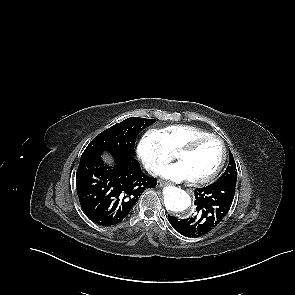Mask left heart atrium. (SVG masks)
Returning <instances> with one entry per match:
<instances>
[{"label":"left heart atrium","mask_w":295,"mask_h":295,"mask_svg":"<svg viewBox=\"0 0 295 295\" xmlns=\"http://www.w3.org/2000/svg\"><path fill=\"white\" fill-rule=\"evenodd\" d=\"M162 176L166 179L176 181V182L192 179V176L188 168L182 162H177L173 165L166 167L162 171Z\"/></svg>","instance_id":"obj_1"}]
</instances>
